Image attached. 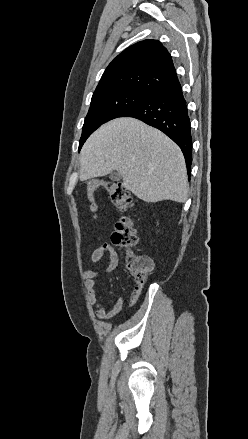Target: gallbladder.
I'll use <instances>...</instances> for the list:
<instances>
[{
    "label": "gallbladder",
    "instance_id": "1",
    "mask_svg": "<svg viewBox=\"0 0 248 439\" xmlns=\"http://www.w3.org/2000/svg\"><path fill=\"white\" fill-rule=\"evenodd\" d=\"M109 178L112 181H119L121 179V175L118 172H112L110 173Z\"/></svg>",
    "mask_w": 248,
    "mask_h": 439
}]
</instances>
